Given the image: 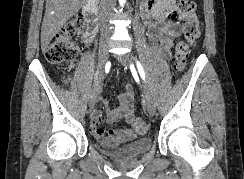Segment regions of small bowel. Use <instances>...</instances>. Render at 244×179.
<instances>
[{
  "mask_svg": "<svg viewBox=\"0 0 244 179\" xmlns=\"http://www.w3.org/2000/svg\"><path fill=\"white\" fill-rule=\"evenodd\" d=\"M174 0L144 2L140 7V19L147 29V37L151 44L158 45L155 52L162 58L170 57L173 38L179 34V26L176 23L177 16L173 6ZM85 41H89L85 38ZM119 105L109 108L107 121L113 123L117 119H123L126 127L115 129H103V118L100 112L92 113V131L105 145H114L129 141L135 137L134 131V97L133 88L127 84L123 92L118 95Z\"/></svg>",
  "mask_w": 244,
  "mask_h": 179,
  "instance_id": "small-bowel-1",
  "label": "small bowel"
}]
</instances>
